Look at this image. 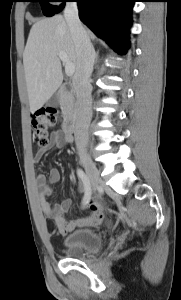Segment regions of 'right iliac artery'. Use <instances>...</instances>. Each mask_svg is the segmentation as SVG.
<instances>
[{
    "label": "right iliac artery",
    "mask_w": 181,
    "mask_h": 300,
    "mask_svg": "<svg viewBox=\"0 0 181 300\" xmlns=\"http://www.w3.org/2000/svg\"><path fill=\"white\" fill-rule=\"evenodd\" d=\"M77 175H78L79 179L82 181V184H83V187L85 190V198L83 201V205H85L91 197V193H92L91 184H90V181H89L87 175L84 173V171L82 169H80V168L77 169Z\"/></svg>",
    "instance_id": "82829eb1"
}]
</instances>
